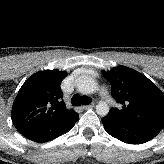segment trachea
Masks as SVG:
<instances>
[{
	"mask_svg": "<svg viewBox=\"0 0 164 164\" xmlns=\"http://www.w3.org/2000/svg\"><path fill=\"white\" fill-rule=\"evenodd\" d=\"M73 105H89L92 102V99L88 96H80L78 94L73 95L72 99Z\"/></svg>",
	"mask_w": 164,
	"mask_h": 164,
	"instance_id": "obj_1",
	"label": "trachea"
}]
</instances>
